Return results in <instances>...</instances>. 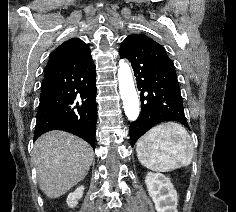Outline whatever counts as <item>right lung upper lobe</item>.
I'll return each mask as SVG.
<instances>
[{
	"instance_id": "cb5924a9",
	"label": "right lung upper lobe",
	"mask_w": 236,
	"mask_h": 212,
	"mask_svg": "<svg viewBox=\"0 0 236 212\" xmlns=\"http://www.w3.org/2000/svg\"><path fill=\"white\" fill-rule=\"evenodd\" d=\"M86 45L87 44L78 38H71L65 41L50 54L46 67L71 57Z\"/></svg>"
}]
</instances>
